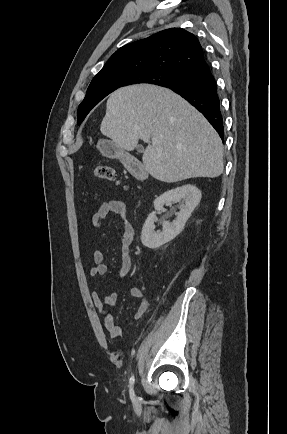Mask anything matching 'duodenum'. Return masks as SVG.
Wrapping results in <instances>:
<instances>
[{
	"label": "duodenum",
	"instance_id": "obj_1",
	"mask_svg": "<svg viewBox=\"0 0 287 434\" xmlns=\"http://www.w3.org/2000/svg\"><path fill=\"white\" fill-rule=\"evenodd\" d=\"M130 163L132 164V171L136 177L140 178V177H143L145 175V171L142 167L138 166L134 162L130 161Z\"/></svg>",
	"mask_w": 287,
	"mask_h": 434
}]
</instances>
